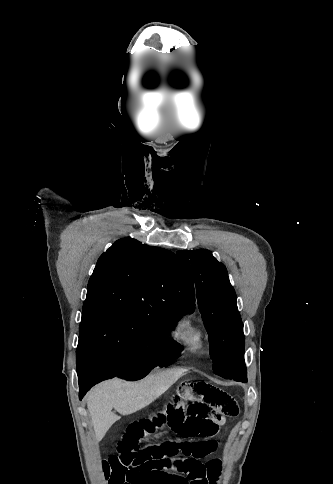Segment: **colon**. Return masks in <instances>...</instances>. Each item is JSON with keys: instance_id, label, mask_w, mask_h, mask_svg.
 Instances as JSON below:
<instances>
[{"instance_id": "colon-1", "label": "colon", "mask_w": 333, "mask_h": 484, "mask_svg": "<svg viewBox=\"0 0 333 484\" xmlns=\"http://www.w3.org/2000/svg\"><path fill=\"white\" fill-rule=\"evenodd\" d=\"M163 435H165V433H158V434H156V435H153L152 437H153V438H160V437H162Z\"/></svg>"}]
</instances>
